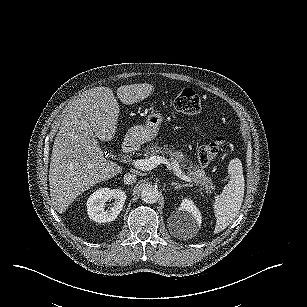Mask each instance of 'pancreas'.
Listing matches in <instances>:
<instances>
[{
    "label": "pancreas",
    "instance_id": "cf45deb5",
    "mask_svg": "<svg viewBox=\"0 0 307 307\" xmlns=\"http://www.w3.org/2000/svg\"><path fill=\"white\" fill-rule=\"evenodd\" d=\"M143 151L146 156H155L161 154L162 156L167 155L169 157L170 163H178L182 172V175L187 176L191 180V185H196L199 187V191L205 190L206 193H211L215 188L213 186L212 178L206 175V172L198 165L192 162L189 165L185 162V157L180 151H174L168 148V145L163 147L158 146V142L149 143ZM174 171V170H173Z\"/></svg>",
    "mask_w": 307,
    "mask_h": 307
}]
</instances>
